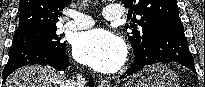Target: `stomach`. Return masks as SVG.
<instances>
[{
	"label": "stomach",
	"instance_id": "obj_1",
	"mask_svg": "<svg viewBox=\"0 0 205 87\" xmlns=\"http://www.w3.org/2000/svg\"><path fill=\"white\" fill-rule=\"evenodd\" d=\"M124 87H180V81L170 68L156 64L130 77Z\"/></svg>",
	"mask_w": 205,
	"mask_h": 87
}]
</instances>
